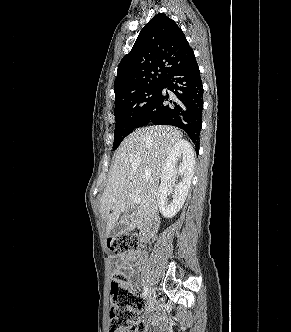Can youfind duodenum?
Instances as JSON below:
<instances>
[{
	"label": "duodenum",
	"instance_id": "410a0bca",
	"mask_svg": "<svg viewBox=\"0 0 291 332\" xmlns=\"http://www.w3.org/2000/svg\"><path fill=\"white\" fill-rule=\"evenodd\" d=\"M159 220L157 217L145 218L139 228L140 237L142 240H146L151 237L157 229Z\"/></svg>",
	"mask_w": 291,
	"mask_h": 332
}]
</instances>
